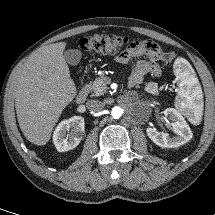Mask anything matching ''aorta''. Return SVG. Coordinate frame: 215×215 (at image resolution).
Masks as SVG:
<instances>
[{"label":"aorta","mask_w":215,"mask_h":215,"mask_svg":"<svg viewBox=\"0 0 215 215\" xmlns=\"http://www.w3.org/2000/svg\"><path fill=\"white\" fill-rule=\"evenodd\" d=\"M122 115V110L119 107H115L112 110V116L114 118H119Z\"/></svg>","instance_id":"762f6f07"}]
</instances>
